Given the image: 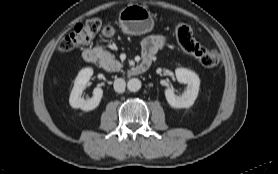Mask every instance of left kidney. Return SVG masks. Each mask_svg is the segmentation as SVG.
<instances>
[{"mask_svg":"<svg viewBox=\"0 0 278 174\" xmlns=\"http://www.w3.org/2000/svg\"><path fill=\"white\" fill-rule=\"evenodd\" d=\"M175 75L178 82L187 84V88L181 96L175 95L174 89H166L165 97L167 102L174 108H189L194 104L198 96L200 79L195 72L184 68H177Z\"/></svg>","mask_w":278,"mask_h":174,"instance_id":"left-kidney-1","label":"left kidney"}]
</instances>
